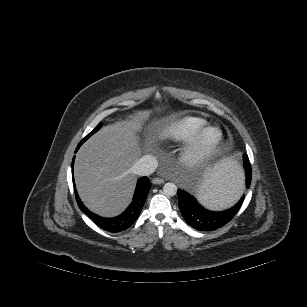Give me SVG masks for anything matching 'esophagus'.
Segmentation results:
<instances>
[{"mask_svg": "<svg viewBox=\"0 0 307 307\" xmlns=\"http://www.w3.org/2000/svg\"><path fill=\"white\" fill-rule=\"evenodd\" d=\"M165 181L161 178H153L152 179V183L153 184H156V185H159V184H163Z\"/></svg>", "mask_w": 307, "mask_h": 307, "instance_id": "34e87169", "label": "esophagus"}]
</instances>
